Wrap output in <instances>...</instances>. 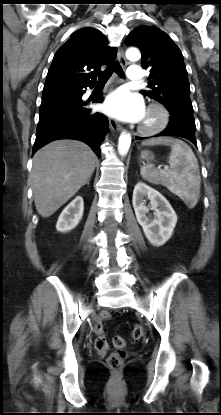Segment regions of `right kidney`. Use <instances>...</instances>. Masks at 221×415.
Listing matches in <instances>:
<instances>
[{
    "instance_id": "obj_1",
    "label": "right kidney",
    "mask_w": 221,
    "mask_h": 415,
    "mask_svg": "<svg viewBox=\"0 0 221 415\" xmlns=\"http://www.w3.org/2000/svg\"><path fill=\"white\" fill-rule=\"evenodd\" d=\"M84 211L83 198L77 196L60 214L56 229L60 232H68L74 229L82 219Z\"/></svg>"
}]
</instances>
